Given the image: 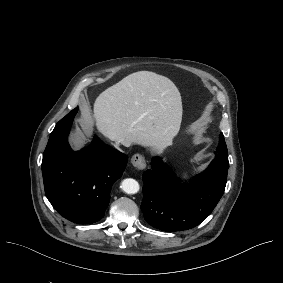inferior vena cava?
Instances as JSON below:
<instances>
[{"mask_svg":"<svg viewBox=\"0 0 283 283\" xmlns=\"http://www.w3.org/2000/svg\"><path fill=\"white\" fill-rule=\"evenodd\" d=\"M117 150L122 151L119 147L115 146Z\"/></svg>","mask_w":283,"mask_h":283,"instance_id":"602c4592","label":"inferior vena cava"}]
</instances>
